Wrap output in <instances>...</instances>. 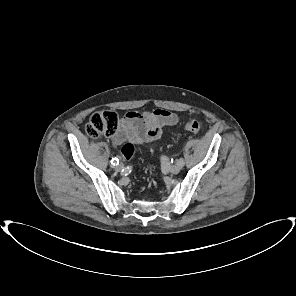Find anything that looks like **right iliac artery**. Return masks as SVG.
Instances as JSON below:
<instances>
[{
    "label": "right iliac artery",
    "instance_id": "1",
    "mask_svg": "<svg viewBox=\"0 0 296 296\" xmlns=\"http://www.w3.org/2000/svg\"><path fill=\"white\" fill-rule=\"evenodd\" d=\"M111 164L114 165V166L118 165L119 164V159L118 158H112Z\"/></svg>",
    "mask_w": 296,
    "mask_h": 296
}]
</instances>
